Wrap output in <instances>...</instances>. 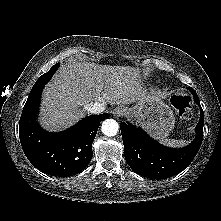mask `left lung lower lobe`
<instances>
[{
  "label": "left lung lower lobe",
  "mask_w": 221,
  "mask_h": 221,
  "mask_svg": "<svg viewBox=\"0 0 221 221\" xmlns=\"http://www.w3.org/2000/svg\"><path fill=\"white\" fill-rule=\"evenodd\" d=\"M187 89L192 93L195 103L200 105L195 90L191 87ZM203 124L204 113L201 109L196 138L185 148L173 149L159 144L141 128L121 122L125 159L131 169L141 176L152 179L174 176L183 171L196 156L203 140Z\"/></svg>",
  "instance_id": "0a47b994"
}]
</instances>
